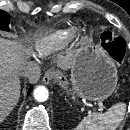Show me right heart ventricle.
Wrapping results in <instances>:
<instances>
[{
  "label": "right heart ventricle",
  "mask_w": 130,
  "mask_h": 130,
  "mask_svg": "<svg viewBox=\"0 0 130 130\" xmlns=\"http://www.w3.org/2000/svg\"><path fill=\"white\" fill-rule=\"evenodd\" d=\"M69 31H62L45 36L34 44V52L37 57H44L63 45L69 38Z\"/></svg>",
  "instance_id": "right-heart-ventricle-1"
}]
</instances>
